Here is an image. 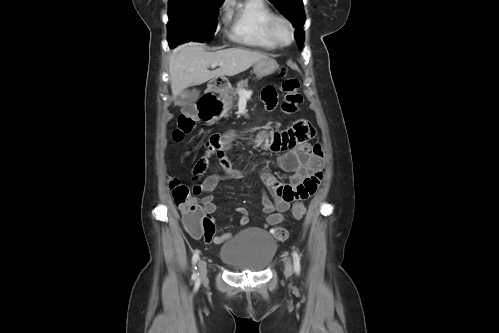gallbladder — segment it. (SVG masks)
<instances>
[{"label": "gallbladder", "instance_id": "1", "mask_svg": "<svg viewBox=\"0 0 499 333\" xmlns=\"http://www.w3.org/2000/svg\"><path fill=\"white\" fill-rule=\"evenodd\" d=\"M199 96V91L197 89L185 90L182 92L175 100L178 106H190L194 104Z\"/></svg>", "mask_w": 499, "mask_h": 333}]
</instances>
